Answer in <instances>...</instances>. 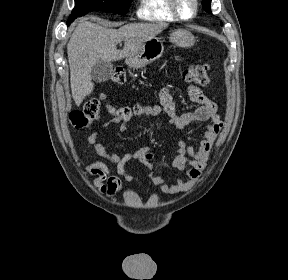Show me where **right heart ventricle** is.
Listing matches in <instances>:
<instances>
[{
	"label": "right heart ventricle",
	"instance_id": "1",
	"mask_svg": "<svg viewBox=\"0 0 288 280\" xmlns=\"http://www.w3.org/2000/svg\"><path fill=\"white\" fill-rule=\"evenodd\" d=\"M136 14L140 19L147 21L173 22L177 20L171 11L169 0H139Z\"/></svg>",
	"mask_w": 288,
	"mask_h": 280
}]
</instances>
